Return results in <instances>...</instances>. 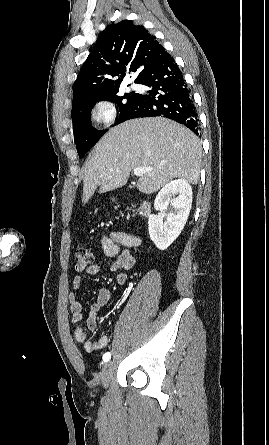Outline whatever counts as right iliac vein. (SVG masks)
Here are the masks:
<instances>
[{"label": "right iliac vein", "mask_w": 269, "mask_h": 445, "mask_svg": "<svg viewBox=\"0 0 269 445\" xmlns=\"http://www.w3.org/2000/svg\"><path fill=\"white\" fill-rule=\"evenodd\" d=\"M112 373H113V363L109 361L104 365V368L102 370V385L104 388L108 386Z\"/></svg>", "instance_id": "1"}]
</instances>
